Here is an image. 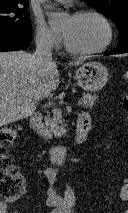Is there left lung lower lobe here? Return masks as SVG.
<instances>
[{
    "label": "left lung lower lobe",
    "mask_w": 128,
    "mask_h": 213,
    "mask_svg": "<svg viewBox=\"0 0 128 213\" xmlns=\"http://www.w3.org/2000/svg\"><path fill=\"white\" fill-rule=\"evenodd\" d=\"M122 53H128V44L122 47H117V49L112 50L111 52H107L105 54L110 55V54H122Z\"/></svg>",
    "instance_id": "0a47b994"
}]
</instances>
